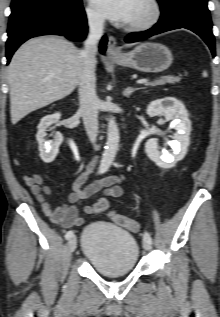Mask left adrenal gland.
I'll use <instances>...</instances> for the list:
<instances>
[{
  "label": "left adrenal gland",
  "instance_id": "left-adrenal-gland-1",
  "mask_svg": "<svg viewBox=\"0 0 220 317\" xmlns=\"http://www.w3.org/2000/svg\"><path fill=\"white\" fill-rule=\"evenodd\" d=\"M139 88H132V87H127V88H125L124 90H123V95L125 96V97H130V95L134 92V91H136V90H138Z\"/></svg>",
  "mask_w": 220,
  "mask_h": 317
}]
</instances>
